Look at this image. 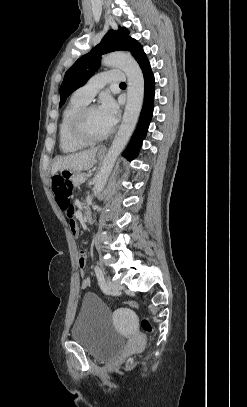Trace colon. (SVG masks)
Returning a JSON list of instances; mask_svg holds the SVG:
<instances>
[{
	"label": "colon",
	"mask_w": 247,
	"mask_h": 407,
	"mask_svg": "<svg viewBox=\"0 0 247 407\" xmlns=\"http://www.w3.org/2000/svg\"><path fill=\"white\" fill-rule=\"evenodd\" d=\"M52 189L56 199V202L61 210H65L71 204V195L73 193V185L61 176H56L52 180ZM125 305L130 308H137V303L134 301H126ZM142 328L146 332L152 331V324L148 319L142 321ZM132 365V360H129L126 364L127 367Z\"/></svg>",
	"instance_id": "1"
}]
</instances>
